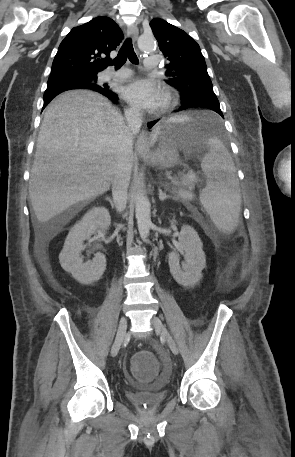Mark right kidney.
I'll use <instances>...</instances> for the list:
<instances>
[{
  "label": "right kidney",
  "mask_w": 295,
  "mask_h": 457,
  "mask_svg": "<svg viewBox=\"0 0 295 457\" xmlns=\"http://www.w3.org/2000/svg\"><path fill=\"white\" fill-rule=\"evenodd\" d=\"M111 218L104 207H94L70 230L63 250L59 255L62 268L82 284H91L98 281L106 269V257L96 253L92 261L83 263L80 257L84 249L83 243L90 238L97 229L105 231L109 228Z\"/></svg>",
  "instance_id": "obj_1"
}]
</instances>
